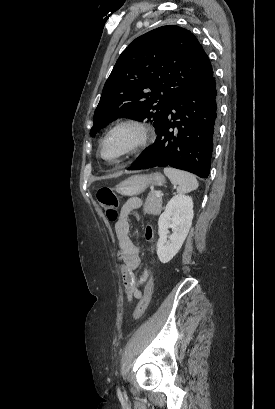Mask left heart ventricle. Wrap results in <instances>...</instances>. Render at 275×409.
Segmentation results:
<instances>
[{
	"instance_id": "b2bd125f",
	"label": "left heart ventricle",
	"mask_w": 275,
	"mask_h": 409,
	"mask_svg": "<svg viewBox=\"0 0 275 409\" xmlns=\"http://www.w3.org/2000/svg\"><path fill=\"white\" fill-rule=\"evenodd\" d=\"M131 136L128 133H120L112 138L105 147L107 156H114L119 153L123 147L129 142Z\"/></svg>"
}]
</instances>
